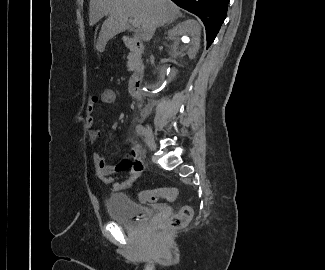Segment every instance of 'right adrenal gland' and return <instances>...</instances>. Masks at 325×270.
<instances>
[{
    "mask_svg": "<svg viewBox=\"0 0 325 270\" xmlns=\"http://www.w3.org/2000/svg\"><path fill=\"white\" fill-rule=\"evenodd\" d=\"M178 17H181V14H179V15H178L176 18H174L173 20H170V21L167 23V25L173 23V22L175 21V19H177Z\"/></svg>",
    "mask_w": 325,
    "mask_h": 270,
    "instance_id": "2a0ac1e0",
    "label": "right adrenal gland"
}]
</instances>
